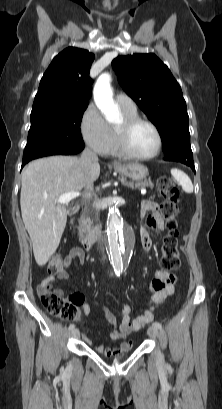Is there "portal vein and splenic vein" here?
<instances>
[{"instance_id":"18ae733b","label":"portal vein and splenic vein","mask_w":222,"mask_h":409,"mask_svg":"<svg viewBox=\"0 0 222 409\" xmlns=\"http://www.w3.org/2000/svg\"><path fill=\"white\" fill-rule=\"evenodd\" d=\"M145 193H146L145 190H141V194L144 195ZM80 195H81V193L79 191L78 192H67V193L61 195L58 198L57 202L60 203V204H68L72 199L77 198Z\"/></svg>"}]
</instances>
